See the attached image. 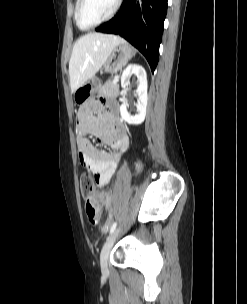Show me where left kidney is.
Instances as JSON below:
<instances>
[{
	"label": "left kidney",
	"mask_w": 247,
	"mask_h": 304,
	"mask_svg": "<svg viewBox=\"0 0 247 304\" xmlns=\"http://www.w3.org/2000/svg\"><path fill=\"white\" fill-rule=\"evenodd\" d=\"M132 75H136L138 80V88L136 90V94L138 95L137 100V114L136 115H130L127 111V104L123 103L120 106V113L121 117L124 121H126L128 124H141L146 115V106H147V75L145 69L138 64H131L128 65L121 76V86L123 88L128 87L129 85V79Z\"/></svg>",
	"instance_id": "1"
}]
</instances>
